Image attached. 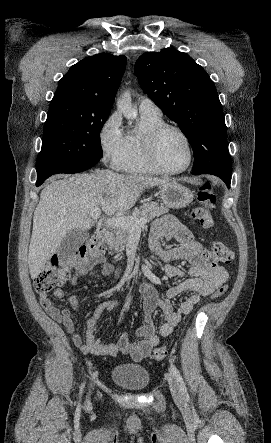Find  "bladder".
Segmentation results:
<instances>
[{
    "instance_id": "bladder-1",
    "label": "bladder",
    "mask_w": 271,
    "mask_h": 443,
    "mask_svg": "<svg viewBox=\"0 0 271 443\" xmlns=\"http://www.w3.org/2000/svg\"><path fill=\"white\" fill-rule=\"evenodd\" d=\"M110 377L118 386L132 391H142L150 382L148 370L136 363L115 365L110 372Z\"/></svg>"
}]
</instances>
